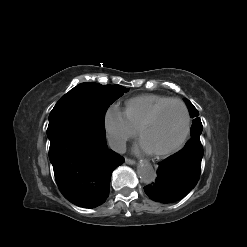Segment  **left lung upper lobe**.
Returning a JSON list of instances; mask_svg holds the SVG:
<instances>
[{"instance_id": "1", "label": "left lung upper lobe", "mask_w": 247, "mask_h": 247, "mask_svg": "<svg viewBox=\"0 0 247 247\" xmlns=\"http://www.w3.org/2000/svg\"><path fill=\"white\" fill-rule=\"evenodd\" d=\"M186 103L188 105L191 117L194 118L190 130L192 138H199L203 129L201 119L198 117L199 113L189 100H186Z\"/></svg>"}]
</instances>
